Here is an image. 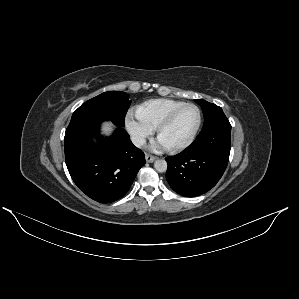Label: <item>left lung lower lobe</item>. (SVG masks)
<instances>
[{"label":"left lung lower lobe","instance_id":"obj_1","mask_svg":"<svg viewBox=\"0 0 299 299\" xmlns=\"http://www.w3.org/2000/svg\"><path fill=\"white\" fill-rule=\"evenodd\" d=\"M228 120L213 122L201 130L181 153L167 157L166 179L171 188L186 197L201 195L222 177L231 149Z\"/></svg>","mask_w":299,"mask_h":299}]
</instances>
